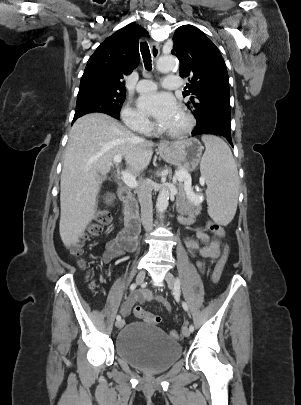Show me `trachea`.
I'll return each instance as SVG.
<instances>
[{"label": "trachea", "instance_id": "3493384b", "mask_svg": "<svg viewBox=\"0 0 301 405\" xmlns=\"http://www.w3.org/2000/svg\"><path fill=\"white\" fill-rule=\"evenodd\" d=\"M140 51H141V54H142V58H143L145 68L150 71L151 68H152L151 54H150V50H149V46H148L147 42H141L140 43Z\"/></svg>", "mask_w": 301, "mask_h": 405}]
</instances>
